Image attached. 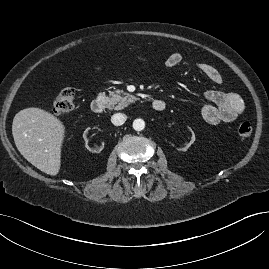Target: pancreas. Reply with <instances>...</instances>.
Wrapping results in <instances>:
<instances>
[{
  "instance_id": "obj_1",
  "label": "pancreas",
  "mask_w": 269,
  "mask_h": 269,
  "mask_svg": "<svg viewBox=\"0 0 269 269\" xmlns=\"http://www.w3.org/2000/svg\"><path fill=\"white\" fill-rule=\"evenodd\" d=\"M109 95L110 97L106 107L111 110H121L137 100L135 96L130 95L122 90L110 91Z\"/></svg>"
}]
</instances>
